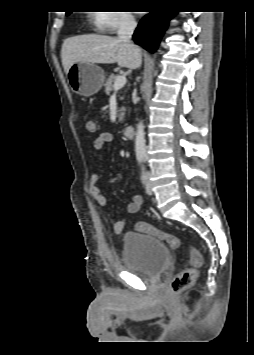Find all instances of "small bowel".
<instances>
[{"label": "small bowel", "mask_w": 254, "mask_h": 355, "mask_svg": "<svg viewBox=\"0 0 254 355\" xmlns=\"http://www.w3.org/2000/svg\"><path fill=\"white\" fill-rule=\"evenodd\" d=\"M114 140V136L111 133H101L93 142V149L96 152L103 150V148ZM98 175L92 174L90 177L89 191L92 197L98 202L99 205L105 206L107 204L106 197L102 194L100 188L97 185ZM143 204V198L139 194H133L130 202L127 204V212L129 214L137 213ZM111 227L114 232L121 233L124 230L125 222L123 220H111Z\"/></svg>", "instance_id": "small-bowel-1"}]
</instances>
